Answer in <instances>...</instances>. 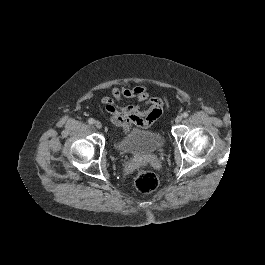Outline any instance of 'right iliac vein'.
<instances>
[{
	"label": "right iliac vein",
	"instance_id": "right-iliac-vein-1",
	"mask_svg": "<svg viewBox=\"0 0 265 265\" xmlns=\"http://www.w3.org/2000/svg\"><path fill=\"white\" fill-rule=\"evenodd\" d=\"M96 128L100 129L102 127V124L100 121H95Z\"/></svg>",
	"mask_w": 265,
	"mask_h": 265
}]
</instances>
